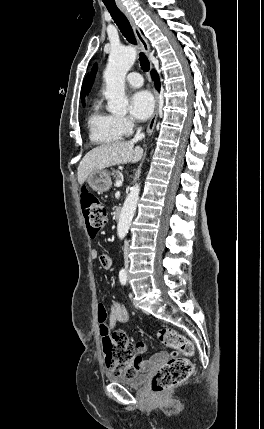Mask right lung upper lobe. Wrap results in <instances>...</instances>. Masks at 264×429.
I'll list each match as a JSON object with an SVG mask.
<instances>
[{
    "label": "right lung upper lobe",
    "instance_id": "1",
    "mask_svg": "<svg viewBox=\"0 0 264 429\" xmlns=\"http://www.w3.org/2000/svg\"><path fill=\"white\" fill-rule=\"evenodd\" d=\"M86 80H87V78L84 80L83 86H82V89H81V99H82L83 105H85V103H84V96H85V84H86Z\"/></svg>",
    "mask_w": 264,
    "mask_h": 429
}]
</instances>
